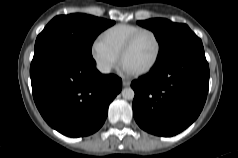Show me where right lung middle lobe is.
Listing matches in <instances>:
<instances>
[{"mask_svg":"<svg viewBox=\"0 0 238 158\" xmlns=\"http://www.w3.org/2000/svg\"><path fill=\"white\" fill-rule=\"evenodd\" d=\"M115 22L91 15L75 13L53 18L38 35L35 50L48 42H60L76 52L92 57L95 38Z\"/></svg>","mask_w":238,"mask_h":158,"instance_id":"right-lung-middle-lobe-1","label":"right lung middle lobe"}]
</instances>
